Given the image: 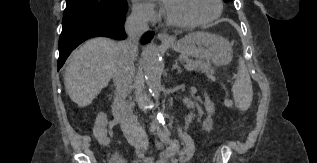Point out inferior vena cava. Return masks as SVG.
<instances>
[{
    "label": "inferior vena cava",
    "instance_id": "1",
    "mask_svg": "<svg viewBox=\"0 0 317 163\" xmlns=\"http://www.w3.org/2000/svg\"><path fill=\"white\" fill-rule=\"evenodd\" d=\"M148 29L147 13L142 10H133L125 23V32L128 38L119 44V53L113 76L116 87L112 106L113 114L119 120L127 141L141 150H147L149 145L148 136L133 114L131 106L126 102V97L131 88L137 51L136 42Z\"/></svg>",
    "mask_w": 317,
    "mask_h": 163
}]
</instances>
